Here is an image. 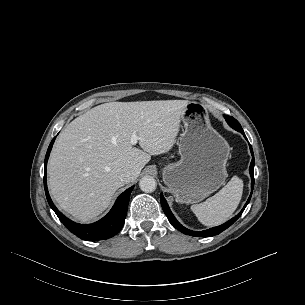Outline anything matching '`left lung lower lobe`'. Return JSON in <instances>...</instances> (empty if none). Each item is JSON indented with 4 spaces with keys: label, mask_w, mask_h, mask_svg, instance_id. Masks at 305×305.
I'll return each instance as SVG.
<instances>
[{
    "label": "left lung lower lobe",
    "mask_w": 305,
    "mask_h": 305,
    "mask_svg": "<svg viewBox=\"0 0 305 305\" xmlns=\"http://www.w3.org/2000/svg\"><path fill=\"white\" fill-rule=\"evenodd\" d=\"M241 133L247 139V137L245 136L244 132L241 131ZM249 146H250V151H251V154H252V161H251V164H250L249 171H250V175H251V190H253V187H254V163H255V161H254V155H253L252 147H251L250 144H249ZM251 195H252V191H251L250 197L248 198L246 204L244 205L243 209L241 210V212L238 215H236L235 217H233L232 219H230L229 221H227L226 223H224V224H222L220 226H217V227L205 230V231H199V232L191 231V230L183 227L176 220V218L174 217V215L170 211V208H169V206H168V204H167V202H166V200H165V198L163 197L162 194L160 195V200H161V204H162V208H163L164 213L166 214V216H167L168 220L170 221V223L176 229L180 230L184 234L191 235V236L210 237V236L218 235L219 233H221L222 231L227 229L229 226H231L240 217V215L243 213L244 209L248 205V203H249V201L251 199Z\"/></svg>",
    "instance_id": "left-lung-lower-lobe-1"
}]
</instances>
